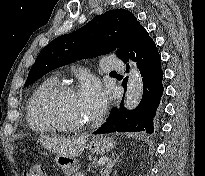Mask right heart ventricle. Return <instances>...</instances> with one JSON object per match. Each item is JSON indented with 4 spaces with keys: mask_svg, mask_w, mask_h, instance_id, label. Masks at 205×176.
<instances>
[{
    "mask_svg": "<svg viewBox=\"0 0 205 176\" xmlns=\"http://www.w3.org/2000/svg\"><path fill=\"white\" fill-rule=\"evenodd\" d=\"M58 83L57 77H49L41 82L32 92L26 103V121L29 129L36 133L42 134L52 130L51 126L42 123L36 117L35 108L40 96Z\"/></svg>",
    "mask_w": 205,
    "mask_h": 176,
    "instance_id": "e07e8e85",
    "label": "right heart ventricle"
}]
</instances>
